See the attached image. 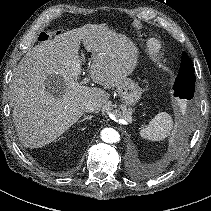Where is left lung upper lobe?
Here are the masks:
<instances>
[{
    "label": "left lung upper lobe",
    "instance_id": "1",
    "mask_svg": "<svg viewBox=\"0 0 211 211\" xmlns=\"http://www.w3.org/2000/svg\"><path fill=\"white\" fill-rule=\"evenodd\" d=\"M174 96L182 99L192 100L195 91L194 68L188 55L182 53V61L173 86Z\"/></svg>",
    "mask_w": 211,
    "mask_h": 211
}]
</instances>
